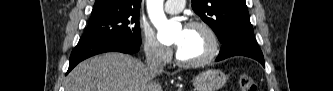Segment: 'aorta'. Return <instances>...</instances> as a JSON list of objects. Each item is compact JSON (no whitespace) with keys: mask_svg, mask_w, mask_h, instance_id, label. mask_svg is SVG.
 Segmentation results:
<instances>
[{"mask_svg":"<svg viewBox=\"0 0 333 91\" xmlns=\"http://www.w3.org/2000/svg\"><path fill=\"white\" fill-rule=\"evenodd\" d=\"M147 9L153 25L157 29V38L161 42L173 41L177 24L166 18L163 12V0H147Z\"/></svg>","mask_w":333,"mask_h":91,"instance_id":"762f6f07","label":"aorta"}]
</instances>
